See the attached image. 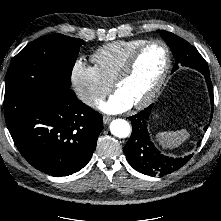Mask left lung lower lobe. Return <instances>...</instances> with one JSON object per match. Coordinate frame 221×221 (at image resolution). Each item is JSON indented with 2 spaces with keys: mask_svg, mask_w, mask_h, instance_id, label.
<instances>
[{
  "mask_svg": "<svg viewBox=\"0 0 221 221\" xmlns=\"http://www.w3.org/2000/svg\"><path fill=\"white\" fill-rule=\"evenodd\" d=\"M203 75L205 76L210 100L213 105L214 97L210 73H204ZM152 106L153 105H150L138 114L129 117L132 124V134L124 146V153L130 165L138 172L149 176H164L181 168L190 160L192 155L184 158H172L164 156L157 150L151 142L147 130V123ZM204 130H207V126L204 127Z\"/></svg>",
  "mask_w": 221,
  "mask_h": 221,
  "instance_id": "1",
  "label": "left lung lower lobe"
}]
</instances>
